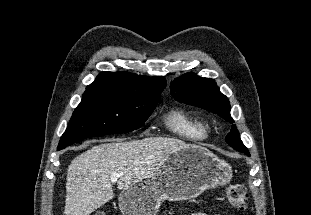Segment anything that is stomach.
<instances>
[{
    "instance_id": "obj_1",
    "label": "stomach",
    "mask_w": 311,
    "mask_h": 215,
    "mask_svg": "<svg viewBox=\"0 0 311 215\" xmlns=\"http://www.w3.org/2000/svg\"><path fill=\"white\" fill-rule=\"evenodd\" d=\"M230 166L207 148L186 144L170 154L145 179L124 189L118 198L123 215H156L164 200L183 201L226 184Z\"/></svg>"
}]
</instances>
